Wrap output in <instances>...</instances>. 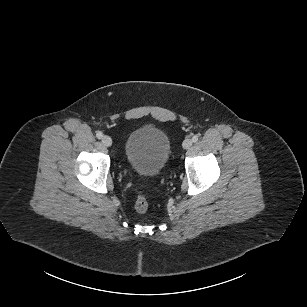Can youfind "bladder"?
Segmentation results:
<instances>
[{
	"instance_id": "obj_1",
	"label": "bladder",
	"mask_w": 307,
	"mask_h": 307,
	"mask_svg": "<svg viewBox=\"0 0 307 307\" xmlns=\"http://www.w3.org/2000/svg\"><path fill=\"white\" fill-rule=\"evenodd\" d=\"M171 151L167 134L154 126L145 125L130 132L124 145L129 167L143 177H155L165 168Z\"/></svg>"
}]
</instances>
